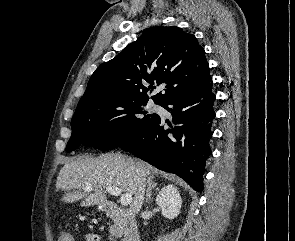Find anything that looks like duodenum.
I'll list each match as a JSON object with an SVG mask.
<instances>
[{"instance_id":"410a0bca","label":"duodenum","mask_w":295,"mask_h":241,"mask_svg":"<svg viewBox=\"0 0 295 241\" xmlns=\"http://www.w3.org/2000/svg\"><path fill=\"white\" fill-rule=\"evenodd\" d=\"M106 216L110 218L124 219L129 222L123 241H141L138 226L133 221V213L130 209H123L115 203H103L101 205Z\"/></svg>"}]
</instances>
